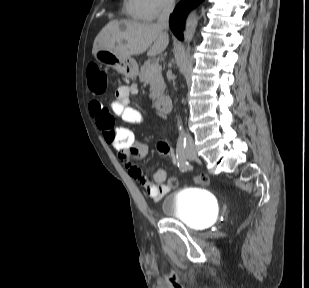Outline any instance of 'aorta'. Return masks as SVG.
I'll use <instances>...</instances> for the list:
<instances>
[{"label": "aorta", "mask_w": 309, "mask_h": 288, "mask_svg": "<svg viewBox=\"0 0 309 288\" xmlns=\"http://www.w3.org/2000/svg\"><path fill=\"white\" fill-rule=\"evenodd\" d=\"M197 24H198V17L195 12H191L187 17L186 24H185V29H184L185 42H189L193 39ZM178 126L180 130V134H182L183 131H182V126H181V121H179V119H178Z\"/></svg>", "instance_id": "aorta-1"}]
</instances>
